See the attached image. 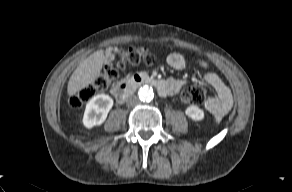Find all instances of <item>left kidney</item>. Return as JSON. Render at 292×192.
Returning <instances> with one entry per match:
<instances>
[{
	"label": "left kidney",
	"instance_id": "left-kidney-1",
	"mask_svg": "<svg viewBox=\"0 0 292 192\" xmlns=\"http://www.w3.org/2000/svg\"><path fill=\"white\" fill-rule=\"evenodd\" d=\"M185 113L194 121H201L204 119V111L196 105H190L187 107Z\"/></svg>",
	"mask_w": 292,
	"mask_h": 192
}]
</instances>
